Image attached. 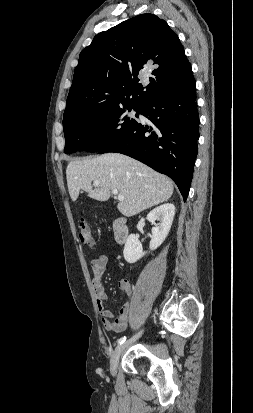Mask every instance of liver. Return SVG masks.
<instances>
[{
	"mask_svg": "<svg viewBox=\"0 0 253 413\" xmlns=\"http://www.w3.org/2000/svg\"><path fill=\"white\" fill-rule=\"evenodd\" d=\"M66 177L72 201L77 200L80 190L98 201H107L111 190H118L124 200L118 203L117 208L126 217L167 201L174 190L172 181L166 176L118 153L70 161ZM94 181H99V185Z\"/></svg>",
	"mask_w": 253,
	"mask_h": 413,
	"instance_id": "1",
	"label": "liver"
}]
</instances>
